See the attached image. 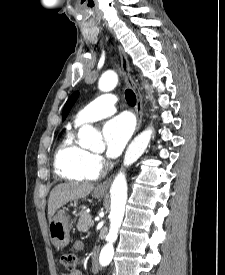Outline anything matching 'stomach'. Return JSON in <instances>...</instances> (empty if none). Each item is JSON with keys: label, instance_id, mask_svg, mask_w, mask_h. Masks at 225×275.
<instances>
[{"label": "stomach", "instance_id": "stomach-1", "mask_svg": "<svg viewBox=\"0 0 225 275\" xmlns=\"http://www.w3.org/2000/svg\"><path fill=\"white\" fill-rule=\"evenodd\" d=\"M104 191L95 190L94 196L100 197ZM72 223L70 216L66 215L64 210L59 211L49 222V236L51 242L58 248H63L70 241V230Z\"/></svg>", "mask_w": 225, "mask_h": 275}]
</instances>
